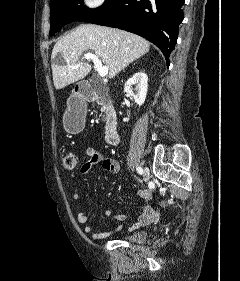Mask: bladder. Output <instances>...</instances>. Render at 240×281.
I'll return each instance as SVG.
<instances>
[{
  "label": "bladder",
  "mask_w": 240,
  "mask_h": 281,
  "mask_svg": "<svg viewBox=\"0 0 240 281\" xmlns=\"http://www.w3.org/2000/svg\"><path fill=\"white\" fill-rule=\"evenodd\" d=\"M146 238H147V233L145 231H138L128 235L125 239L129 242L140 243V242H144Z\"/></svg>",
  "instance_id": "1"
}]
</instances>
